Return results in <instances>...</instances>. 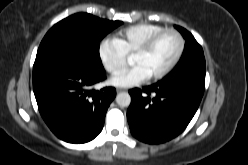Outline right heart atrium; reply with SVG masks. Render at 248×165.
I'll use <instances>...</instances> for the list:
<instances>
[{
	"instance_id": "1",
	"label": "right heart atrium",
	"mask_w": 248,
	"mask_h": 165,
	"mask_svg": "<svg viewBox=\"0 0 248 165\" xmlns=\"http://www.w3.org/2000/svg\"><path fill=\"white\" fill-rule=\"evenodd\" d=\"M99 59L105 70L111 74L117 73L126 63L127 54L115 39H103L98 47Z\"/></svg>"
}]
</instances>
